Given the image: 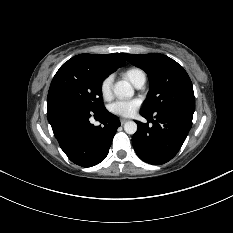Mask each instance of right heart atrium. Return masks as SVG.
Returning a JSON list of instances; mask_svg holds the SVG:
<instances>
[{
	"instance_id": "1",
	"label": "right heart atrium",
	"mask_w": 233,
	"mask_h": 233,
	"mask_svg": "<svg viewBox=\"0 0 233 233\" xmlns=\"http://www.w3.org/2000/svg\"><path fill=\"white\" fill-rule=\"evenodd\" d=\"M100 93L104 99H109L112 95V76H106L100 83Z\"/></svg>"
}]
</instances>
